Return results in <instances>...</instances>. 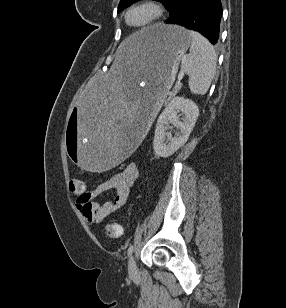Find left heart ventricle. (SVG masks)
Here are the masks:
<instances>
[{"instance_id":"b2bd125f","label":"left heart ventricle","mask_w":286,"mask_h":308,"mask_svg":"<svg viewBox=\"0 0 286 308\" xmlns=\"http://www.w3.org/2000/svg\"><path fill=\"white\" fill-rule=\"evenodd\" d=\"M153 15V12L148 7H138L132 10L129 14V22L133 25H141L147 22Z\"/></svg>"}]
</instances>
